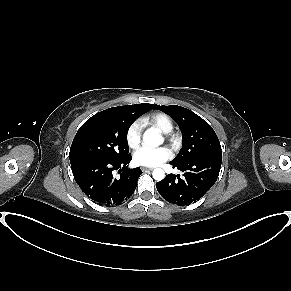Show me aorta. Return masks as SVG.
I'll use <instances>...</instances> for the list:
<instances>
[{
  "mask_svg": "<svg viewBox=\"0 0 291 291\" xmlns=\"http://www.w3.org/2000/svg\"><path fill=\"white\" fill-rule=\"evenodd\" d=\"M143 141L146 145L157 147L163 143L164 139L157 130L150 128L145 131ZM152 175L157 181H161L165 177V173L161 168L154 169Z\"/></svg>",
  "mask_w": 291,
  "mask_h": 291,
  "instance_id": "762f6f07",
  "label": "aorta"
}]
</instances>
